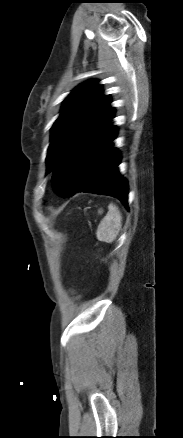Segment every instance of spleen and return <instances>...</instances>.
I'll return each instance as SVG.
<instances>
[{
	"label": "spleen",
	"instance_id": "3e777b00",
	"mask_svg": "<svg viewBox=\"0 0 183 438\" xmlns=\"http://www.w3.org/2000/svg\"><path fill=\"white\" fill-rule=\"evenodd\" d=\"M122 216L118 207L111 203L106 216L101 220L96 237L101 242L112 243L118 236L122 226Z\"/></svg>",
	"mask_w": 183,
	"mask_h": 438
}]
</instances>
